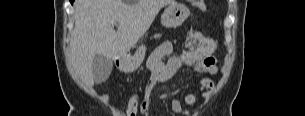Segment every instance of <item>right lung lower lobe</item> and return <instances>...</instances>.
<instances>
[{
    "label": "right lung lower lobe",
    "mask_w": 305,
    "mask_h": 116,
    "mask_svg": "<svg viewBox=\"0 0 305 116\" xmlns=\"http://www.w3.org/2000/svg\"><path fill=\"white\" fill-rule=\"evenodd\" d=\"M70 2H71V3H73V2H74V0H70Z\"/></svg>",
    "instance_id": "1"
}]
</instances>
